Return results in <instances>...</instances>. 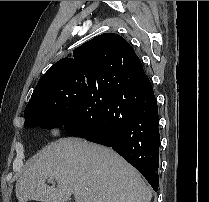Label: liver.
I'll list each match as a JSON object with an SVG mask.
<instances>
[{"mask_svg":"<svg viewBox=\"0 0 209 202\" xmlns=\"http://www.w3.org/2000/svg\"><path fill=\"white\" fill-rule=\"evenodd\" d=\"M53 178L57 186H47ZM19 202H150L152 190L112 149L77 138L45 146L15 187Z\"/></svg>","mask_w":209,"mask_h":202,"instance_id":"obj_1","label":"liver"}]
</instances>
